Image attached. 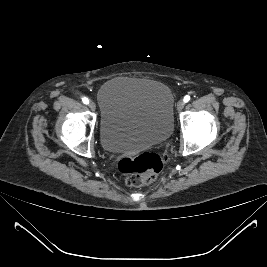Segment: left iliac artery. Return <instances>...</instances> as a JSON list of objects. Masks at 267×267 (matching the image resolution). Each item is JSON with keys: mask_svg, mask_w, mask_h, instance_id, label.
Wrapping results in <instances>:
<instances>
[{"mask_svg": "<svg viewBox=\"0 0 267 267\" xmlns=\"http://www.w3.org/2000/svg\"><path fill=\"white\" fill-rule=\"evenodd\" d=\"M189 100H190V96L186 95V96L184 97V102H188Z\"/></svg>", "mask_w": 267, "mask_h": 267, "instance_id": "44dca946", "label": "left iliac artery"}]
</instances>
